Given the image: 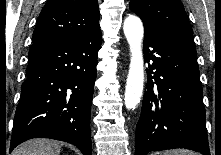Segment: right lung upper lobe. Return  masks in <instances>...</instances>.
Returning <instances> with one entry per match:
<instances>
[{"label":"right lung upper lobe","mask_w":221,"mask_h":155,"mask_svg":"<svg viewBox=\"0 0 221 155\" xmlns=\"http://www.w3.org/2000/svg\"><path fill=\"white\" fill-rule=\"evenodd\" d=\"M100 30L97 0H48L33 42L84 36Z\"/></svg>","instance_id":"obj_1"}]
</instances>
